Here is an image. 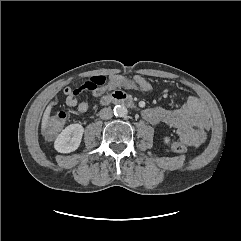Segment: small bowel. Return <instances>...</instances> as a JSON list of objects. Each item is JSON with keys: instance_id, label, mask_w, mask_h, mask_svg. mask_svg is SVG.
Here are the masks:
<instances>
[{"instance_id": "small-bowel-1", "label": "small bowel", "mask_w": 241, "mask_h": 241, "mask_svg": "<svg viewBox=\"0 0 241 241\" xmlns=\"http://www.w3.org/2000/svg\"><path fill=\"white\" fill-rule=\"evenodd\" d=\"M116 76L113 78H117ZM148 89L142 90L148 94L151 91V85L148 83ZM66 103L70 107H76L80 113H85L89 105L86 101L78 102L77 97L72 94V87L67 86L64 89ZM143 118L153 124H165L173 127L177 131L180 141L188 146H199L206 139V131L209 127V117L202 101L190 96L185 103L178 109L168 111L159 107L147 108L142 112Z\"/></svg>"}]
</instances>
